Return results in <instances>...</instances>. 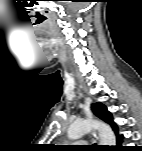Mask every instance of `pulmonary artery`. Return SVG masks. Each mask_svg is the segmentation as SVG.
I'll return each mask as SVG.
<instances>
[{
    "label": "pulmonary artery",
    "mask_w": 142,
    "mask_h": 151,
    "mask_svg": "<svg viewBox=\"0 0 142 151\" xmlns=\"http://www.w3.org/2000/svg\"><path fill=\"white\" fill-rule=\"evenodd\" d=\"M77 144H84V142L83 141H80V142H76Z\"/></svg>",
    "instance_id": "pulmonary-artery-1"
}]
</instances>
